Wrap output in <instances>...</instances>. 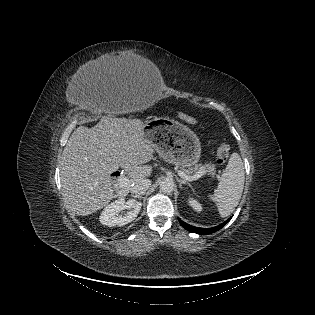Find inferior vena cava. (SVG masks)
<instances>
[{
  "mask_svg": "<svg viewBox=\"0 0 315 315\" xmlns=\"http://www.w3.org/2000/svg\"><path fill=\"white\" fill-rule=\"evenodd\" d=\"M150 185H151L150 179H147V178L138 179L132 184L130 188V192L135 195L144 194L147 191V189L150 187Z\"/></svg>",
  "mask_w": 315,
  "mask_h": 315,
  "instance_id": "1",
  "label": "inferior vena cava"
}]
</instances>
